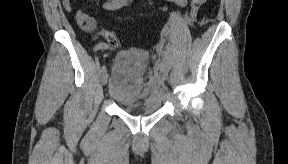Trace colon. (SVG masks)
<instances>
[{
  "mask_svg": "<svg viewBox=\"0 0 288 164\" xmlns=\"http://www.w3.org/2000/svg\"><path fill=\"white\" fill-rule=\"evenodd\" d=\"M100 37L109 42L110 46H116L119 44L118 37L112 31L107 30L106 28H101L99 31Z\"/></svg>",
  "mask_w": 288,
  "mask_h": 164,
  "instance_id": "1",
  "label": "colon"
}]
</instances>
